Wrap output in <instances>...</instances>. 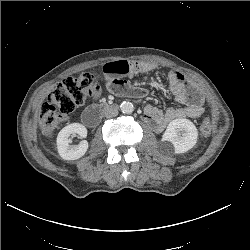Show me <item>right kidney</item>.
<instances>
[{
	"label": "right kidney",
	"instance_id": "right-kidney-1",
	"mask_svg": "<svg viewBox=\"0 0 250 250\" xmlns=\"http://www.w3.org/2000/svg\"><path fill=\"white\" fill-rule=\"evenodd\" d=\"M78 135L81 138L87 136V129L80 123H72L65 126L57 136V149L61 158L65 160H77L81 158L88 149V142L81 141L78 145L71 146V135Z\"/></svg>",
	"mask_w": 250,
	"mask_h": 250
}]
</instances>
